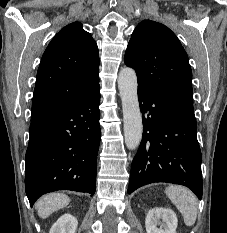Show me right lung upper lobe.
I'll use <instances>...</instances> for the list:
<instances>
[{
	"label": "right lung upper lobe",
	"instance_id": "obj_1",
	"mask_svg": "<svg viewBox=\"0 0 227 233\" xmlns=\"http://www.w3.org/2000/svg\"><path fill=\"white\" fill-rule=\"evenodd\" d=\"M99 86V54L92 36L78 22L59 31L41 59L31 121L88 94Z\"/></svg>",
	"mask_w": 227,
	"mask_h": 233
}]
</instances>
